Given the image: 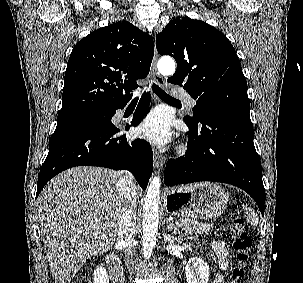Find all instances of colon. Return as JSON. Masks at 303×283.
Segmentation results:
<instances>
[{
    "instance_id": "obj_1",
    "label": "colon",
    "mask_w": 303,
    "mask_h": 283,
    "mask_svg": "<svg viewBox=\"0 0 303 283\" xmlns=\"http://www.w3.org/2000/svg\"><path fill=\"white\" fill-rule=\"evenodd\" d=\"M230 233L232 240V248L236 254L239 266L234 268L231 273L230 283H243L244 269L243 264L249 258L252 240L249 237L245 225L241 218L233 216L230 221ZM78 283H88L87 280H79Z\"/></svg>"
}]
</instances>
